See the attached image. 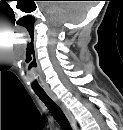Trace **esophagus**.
<instances>
[{
    "label": "esophagus",
    "instance_id": "1",
    "mask_svg": "<svg viewBox=\"0 0 123 130\" xmlns=\"http://www.w3.org/2000/svg\"><path fill=\"white\" fill-rule=\"evenodd\" d=\"M49 96L61 108V110L65 114L66 118L68 119L72 129L77 130L78 127H77L76 121H75L73 115L71 114V112L69 111V109L65 106V104L61 100H59L54 94L49 93Z\"/></svg>",
    "mask_w": 123,
    "mask_h": 130
}]
</instances>
